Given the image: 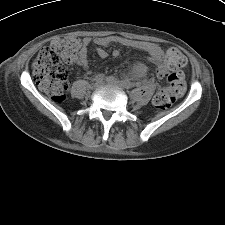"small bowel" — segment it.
<instances>
[{"label":"small bowel","mask_w":225,"mask_h":225,"mask_svg":"<svg viewBox=\"0 0 225 225\" xmlns=\"http://www.w3.org/2000/svg\"><path fill=\"white\" fill-rule=\"evenodd\" d=\"M92 41L99 46L97 48V54L101 58H106L108 56V52L104 49V47H107L112 42L110 38H96L94 40L89 37L83 38L82 46L79 50L77 58V64L83 69L88 67V46ZM140 49L149 55V60L152 64L158 65L161 63L162 51L159 46L153 43H145L140 47ZM112 55L114 58H119L120 51L114 50ZM146 73L147 68L145 65H139L135 69V74L137 76H144Z\"/></svg>","instance_id":"1"}]
</instances>
